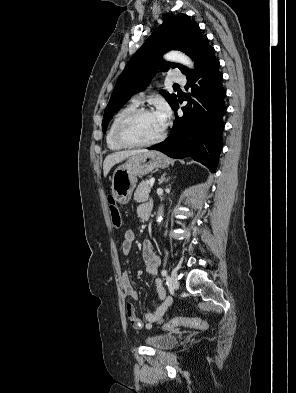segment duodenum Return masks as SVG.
Here are the masks:
<instances>
[{
  "label": "duodenum",
  "instance_id": "1",
  "mask_svg": "<svg viewBox=\"0 0 296 393\" xmlns=\"http://www.w3.org/2000/svg\"><path fill=\"white\" fill-rule=\"evenodd\" d=\"M150 217H151V216L147 217V220H149V219H150Z\"/></svg>",
  "mask_w": 296,
  "mask_h": 393
}]
</instances>
